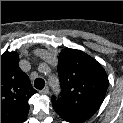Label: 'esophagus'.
<instances>
[{"label": "esophagus", "mask_w": 123, "mask_h": 123, "mask_svg": "<svg viewBox=\"0 0 123 123\" xmlns=\"http://www.w3.org/2000/svg\"><path fill=\"white\" fill-rule=\"evenodd\" d=\"M41 94H48L49 93V88L45 87L43 90L40 91Z\"/></svg>", "instance_id": "esophagus-1"}]
</instances>
